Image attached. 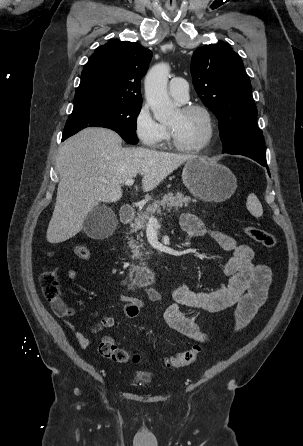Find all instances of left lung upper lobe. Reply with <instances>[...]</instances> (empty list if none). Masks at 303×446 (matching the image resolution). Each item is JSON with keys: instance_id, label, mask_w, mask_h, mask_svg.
<instances>
[{"instance_id": "left-lung-upper-lobe-1", "label": "left lung upper lobe", "mask_w": 303, "mask_h": 446, "mask_svg": "<svg viewBox=\"0 0 303 446\" xmlns=\"http://www.w3.org/2000/svg\"><path fill=\"white\" fill-rule=\"evenodd\" d=\"M191 74L197 94L219 121L223 152L266 159L252 86L239 55L225 43L200 47Z\"/></svg>"}]
</instances>
